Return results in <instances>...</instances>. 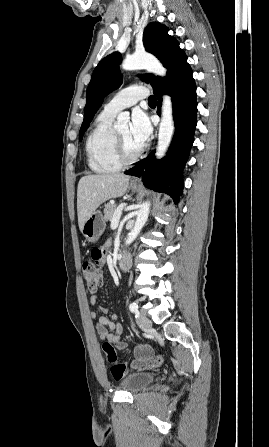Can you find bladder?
Returning a JSON list of instances; mask_svg holds the SVG:
<instances>
[{
  "mask_svg": "<svg viewBox=\"0 0 269 447\" xmlns=\"http://www.w3.org/2000/svg\"><path fill=\"white\" fill-rule=\"evenodd\" d=\"M157 374L154 372H129L127 375H123L118 382L119 391H132L135 392L143 387H148L151 382L155 380Z\"/></svg>",
  "mask_w": 269,
  "mask_h": 447,
  "instance_id": "obj_1",
  "label": "bladder"
}]
</instances>
